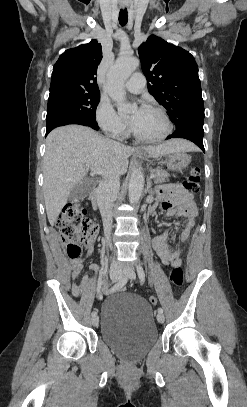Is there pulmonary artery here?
<instances>
[{
  "mask_svg": "<svg viewBox=\"0 0 247 407\" xmlns=\"http://www.w3.org/2000/svg\"><path fill=\"white\" fill-rule=\"evenodd\" d=\"M145 86V77L142 73H134L129 80L126 81L125 87L131 93H140Z\"/></svg>",
  "mask_w": 247,
  "mask_h": 407,
  "instance_id": "obj_1",
  "label": "pulmonary artery"
}]
</instances>
